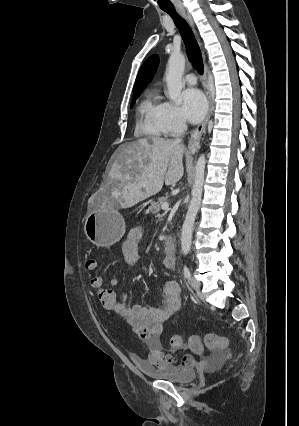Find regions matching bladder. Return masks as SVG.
I'll return each mask as SVG.
<instances>
[{"label":"bladder","instance_id":"1","mask_svg":"<svg viewBox=\"0 0 299 426\" xmlns=\"http://www.w3.org/2000/svg\"><path fill=\"white\" fill-rule=\"evenodd\" d=\"M141 370L149 377L169 381L178 385H187L196 377V370L186 366L154 367L143 361H137Z\"/></svg>","mask_w":299,"mask_h":426}]
</instances>
